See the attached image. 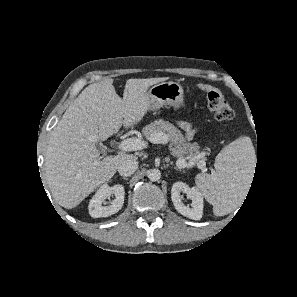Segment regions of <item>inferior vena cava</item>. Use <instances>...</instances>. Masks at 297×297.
<instances>
[{
  "label": "inferior vena cava",
  "instance_id": "1",
  "mask_svg": "<svg viewBox=\"0 0 297 297\" xmlns=\"http://www.w3.org/2000/svg\"><path fill=\"white\" fill-rule=\"evenodd\" d=\"M138 168V162L135 159H126L118 167L121 176H131Z\"/></svg>",
  "mask_w": 297,
  "mask_h": 297
}]
</instances>
